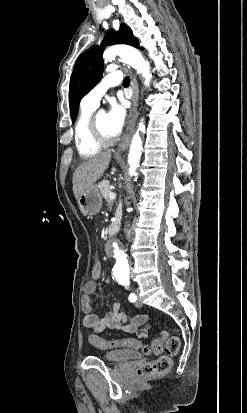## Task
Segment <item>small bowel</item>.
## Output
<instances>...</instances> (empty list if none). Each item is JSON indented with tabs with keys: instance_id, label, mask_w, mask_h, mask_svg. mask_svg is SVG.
<instances>
[{
	"instance_id": "1",
	"label": "small bowel",
	"mask_w": 247,
	"mask_h": 413,
	"mask_svg": "<svg viewBox=\"0 0 247 413\" xmlns=\"http://www.w3.org/2000/svg\"><path fill=\"white\" fill-rule=\"evenodd\" d=\"M97 290V282H86L83 287L81 298L82 310L85 314L83 324L86 328L93 330L95 333H101L105 329L135 333L138 338H147L149 336L150 324L146 323L147 315L139 314L128 318L127 314L120 311L119 303H114L112 310L103 314L97 312V306L92 300V295ZM142 326V329L139 327ZM141 347L146 343L141 342Z\"/></svg>"
}]
</instances>
